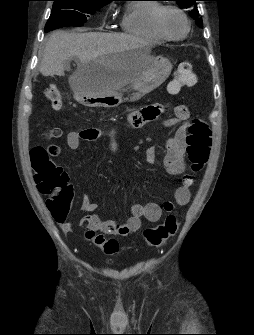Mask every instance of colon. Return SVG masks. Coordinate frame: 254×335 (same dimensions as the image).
<instances>
[{
    "label": "colon",
    "mask_w": 254,
    "mask_h": 335,
    "mask_svg": "<svg viewBox=\"0 0 254 335\" xmlns=\"http://www.w3.org/2000/svg\"><path fill=\"white\" fill-rule=\"evenodd\" d=\"M195 82L193 66L190 62L180 63L174 73V79L169 85L171 93L178 92ZM45 95L56 111L63 109L62 95L56 87H49ZM187 155L193 172H199L207 163L212 146V132L208 124L201 119L192 120L186 137ZM58 147L46 149L36 146L30 150V161L34 172L35 185L40 193L49 196L46 205L52 215L66 216L73 198L72 189L68 183L65 170L56 165L51 157L57 156ZM178 216L169 214L165 220L156 227L146 228L143 238L148 246H159L174 236L179 227ZM86 236L105 253L112 255L119 249L118 241L114 238L106 239L94 231H87Z\"/></svg>",
    "instance_id": "5ec220e1"
}]
</instances>
